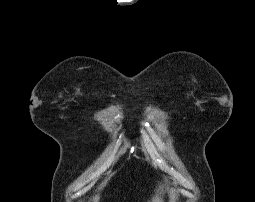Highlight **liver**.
I'll use <instances>...</instances> for the list:
<instances>
[{
  "label": "liver",
  "mask_w": 255,
  "mask_h": 202,
  "mask_svg": "<svg viewBox=\"0 0 255 202\" xmlns=\"http://www.w3.org/2000/svg\"><path fill=\"white\" fill-rule=\"evenodd\" d=\"M160 189H161V187H159V189L157 190L156 195L152 198V202H162Z\"/></svg>",
  "instance_id": "liver-1"
}]
</instances>
